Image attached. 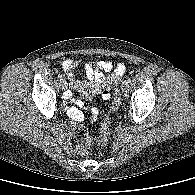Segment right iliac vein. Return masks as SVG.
Wrapping results in <instances>:
<instances>
[{"label": "right iliac vein", "mask_w": 195, "mask_h": 195, "mask_svg": "<svg viewBox=\"0 0 195 195\" xmlns=\"http://www.w3.org/2000/svg\"><path fill=\"white\" fill-rule=\"evenodd\" d=\"M60 83H61V88H62V89H65V88L67 87V82H66L65 79H62V80L60 81Z\"/></svg>", "instance_id": "1"}]
</instances>
